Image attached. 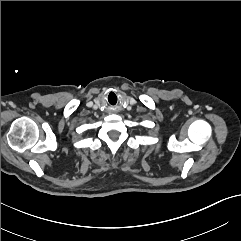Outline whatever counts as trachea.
I'll use <instances>...</instances> for the list:
<instances>
[{
  "label": "trachea",
  "mask_w": 241,
  "mask_h": 241,
  "mask_svg": "<svg viewBox=\"0 0 241 241\" xmlns=\"http://www.w3.org/2000/svg\"><path fill=\"white\" fill-rule=\"evenodd\" d=\"M107 101L111 105H116L119 102V97L115 93H110L107 96Z\"/></svg>",
  "instance_id": "obj_1"
}]
</instances>
